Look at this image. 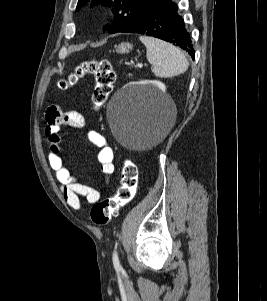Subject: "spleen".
I'll return each mask as SVG.
<instances>
[{"mask_svg": "<svg viewBox=\"0 0 267 301\" xmlns=\"http://www.w3.org/2000/svg\"><path fill=\"white\" fill-rule=\"evenodd\" d=\"M146 47V57L153 66V73L160 78L180 75L188 69L189 63L180 49L153 37L141 36Z\"/></svg>", "mask_w": 267, "mask_h": 301, "instance_id": "1", "label": "spleen"}]
</instances>
